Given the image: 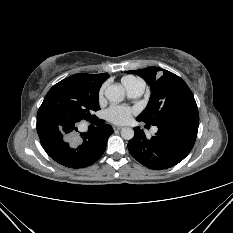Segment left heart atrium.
I'll return each mask as SVG.
<instances>
[{"instance_id":"1","label":"left heart atrium","mask_w":233,"mask_h":233,"mask_svg":"<svg viewBox=\"0 0 233 233\" xmlns=\"http://www.w3.org/2000/svg\"><path fill=\"white\" fill-rule=\"evenodd\" d=\"M133 112V109L129 107L112 105L105 111V118L113 124L123 125L129 122Z\"/></svg>"}]
</instances>
